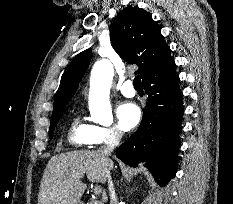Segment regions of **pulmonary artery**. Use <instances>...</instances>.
I'll use <instances>...</instances> for the list:
<instances>
[{"label": "pulmonary artery", "instance_id": "1", "mask_svg": "<svg viewBox=\"0 0 233 204\" xmlns=\"http://www.w3.org/2000/svg\"><path fill=\"white\" fill-rule=\"evenodd\" d=\"M120 91L125 97H134L136 94V91L132 85V81H130V80L125 81L121 85Z\"/></svg>", "mask_w": 233, "mask_h": 204}]
</instances>
